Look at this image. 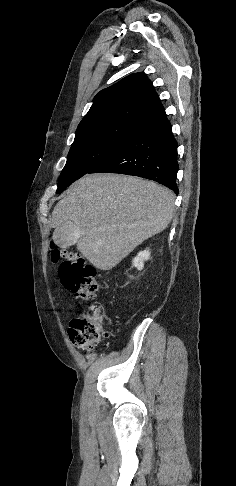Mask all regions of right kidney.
<instances>
[{
    "label": "right kidney",
    "mask_w": 236,
    "mask_h": 486,
    "mask_svg": "<svg viewBox=\"0 0 236 486\" xmlns=\"http://www.w3.org/2000/svg\"><path fill=\"white\" fill-rule=\"evenodd\" d=\"M150 259V251L144 250L138 253V255L133 259V267L138 270H142L144 267V262Z\"/></svg>",
    "instance_id": "ca27d5eb"
}]
</instances>
